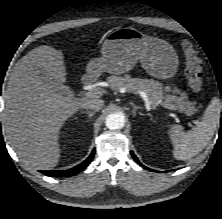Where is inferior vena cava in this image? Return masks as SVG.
Segmentation results:
<instances>
[{
	"label": "inferior vena cava",
	"mask_w": 222,
	"mask_h": 219,
	"mask_svg": "<svg viewBox=\"0 0 222 219\" xmlns=\"http://www.w3.org/2000/svg\"><path fill=\"white\" fill-rule=\"evenodd\" d=\"M103 101L100 99H94V100H90L88 102H86L83 105V108L85 109H92L94 111H99L102 107H103Z\"/></svg>",
	"instance_id": "1"
}]
</instances>
